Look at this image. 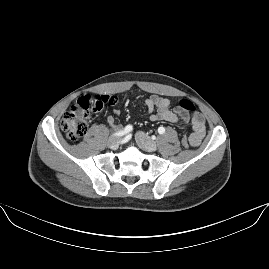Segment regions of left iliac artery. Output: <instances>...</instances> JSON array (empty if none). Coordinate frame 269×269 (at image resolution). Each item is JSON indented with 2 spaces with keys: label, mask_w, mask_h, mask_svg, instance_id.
<instances>
[{
  "label": "left iliac artery",
  "mask_w": 269,
  "mask_h": 269,
  "mask_svg": "<svg viewBox=\"0 0 269 269\" xmlns=\"http://www.w3.org/2000/svg\"><path fill=\"white\" fill-rule=\"evenodd\" d=\"M164 132H165V128L164 127L161 126V127L158 128V133L159 134H163Z\"/></svg>",
  "instance_id": "left-iliac-artery-1"
}]
</instances>
